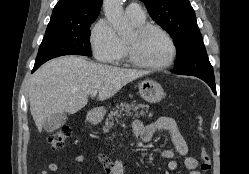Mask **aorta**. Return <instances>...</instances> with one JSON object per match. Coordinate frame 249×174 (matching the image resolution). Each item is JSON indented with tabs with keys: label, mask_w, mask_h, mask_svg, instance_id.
Here are the masks:
<instances>
[{
	"label": "aorta",
	"mask_w": 249,
	"mask_h": 174,
	"mask_svg": "<svg viewBox=\"0 0 249 174\" xmlns=\"http://www.w3.org/2000/svg\"><path fill=\"white\" fill-rule=\"evenodd\" d=\"M123 0H104L103 9L106 18L119 35L129 31V24L122 8Z\"/></svg>",
	"instance_id": "obj_1"
}]
</instances>
